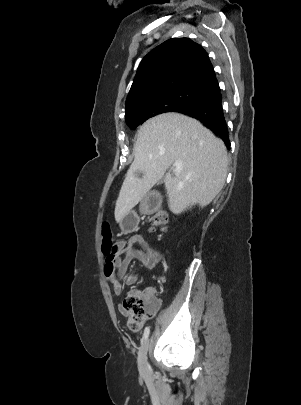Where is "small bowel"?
<instances>
[{"instance_id":"obj_1","label":"small bowel","mask_w":301,"mask_h":405,"mask_svg":"<svg viewBox=\"0 0 301 405\" xmlns=\"http://www.w3.org/2000/svg\"><path fill=\"white\" fill-rule=\"evenodd\" d=\"M115 248L116 253L111 263L105 262V276L111 282L116 295L122 293L124 285H132L138 280L137 275L127 273L132 260L139 261L148 269H153L164 260V255L142 234H135L127 240L118 241ZM147 292L155 293L154 289H148Z\"/></svg>"}]
</instances>
